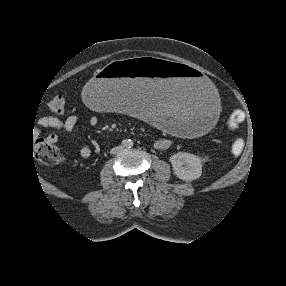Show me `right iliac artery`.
Returning a JSON list of instances; mask_svg holds the SVG:
<instances>
[{
  "label": "right iliac artery",
  "instance_id": "82829eb1",
  "mask_svg": "<svg viewBox=\"0 0 286 286\" xmlns=\"http://www.w3.org/2000/svg\"><path fill=\"white\" fill-rule=\"evenodd\" d=\"M122 145H123L124 147L127 145L126 140H123V141H122Z\"/></svg>",
  "mask_w": 286,
  "mask_h": 286
}]
</instances>
